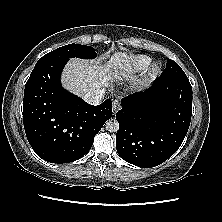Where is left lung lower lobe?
Returning <instances> with one entry per match:
<instances>
[{"instance_id":"obj_1","label":"left lung lower lobe","mask_w":222,"mask_h":222,"mask_svg":"<svg viewBox=\"0 0 222 222\" xmlns=\"http://www.w3.org/2000/svg\"><path fill=\"white\" fill-rule=\"evenodd\" d=\"M116 148L125 161L143 168L170 158L182 144L192 115L188 79L161 78L150 88L121 100Z\"/></svg>"}]
</instances>
